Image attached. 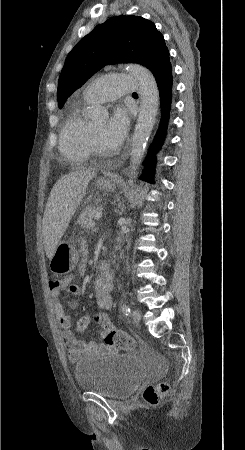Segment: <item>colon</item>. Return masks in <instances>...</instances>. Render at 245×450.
I'll return each instance as SVG.
<instances>
[{
    "mask_svg": "<svg viewBox=\"0 0 245 450\" xmlns=\"http://www.w3.org/2000/svg\"><path fill=\"white\" fill-rule=\"evenodd\" d=\"M63 281L62 278L56 277L50 280V285L58 287ZM93 322L103 328L104 342L107 344L115 345L123 349H131L134 347V341L125 332L116 329L109 321V319L102 313H97L93 317ZM91 323L90 318L82 317L77 321V329L84 330ZM170 389L168 382H161L158 385H148L143 390V398L149 404H157L160 398L166 394Z\"/></svg>",
    "mask_w": 245,
    "mask_h": 450,
    "instance_id": "5ec220e1",
    "label": "colon"
}]
</instances>
